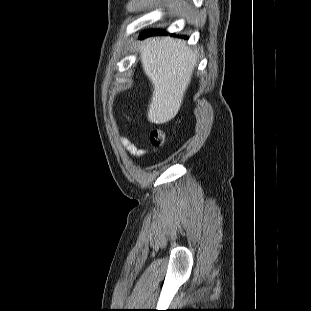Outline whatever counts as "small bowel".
I'll return each instance as SVG.
<instances>
[{
    "instance_id": "small-bowel-1",
    "label": "small bowel",
    "mask_w": 311,
    "mask_h": 311,
    "mask_svg": "<svg viewBox=\"0 0 311 311\" xmlns=\"http://www.w3.org/2000/svg\"><path fill=\"white\" fill-rule=\"evenodd\" d=\"M120 143L122 147L133 157H141L145 154L144 149L138 148L125 137H121Z\"/></svg>"
}]
</instances>
